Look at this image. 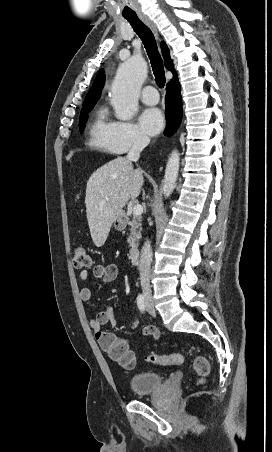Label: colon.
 I'll return each instance as SVG.
<instances>
[{
	"instance_id": "1",
	"label": "colon",
	"mask_w": 272,
	"mask_h": 452,
	"mask_svg": "<svg viewBox=\"0 0 272 452\" xmlns=\"http://www.w3.org/2000/svg\"><path fill=\"white\" fill-rule=\"evenodd\" d=\"M92 264V258L88 253L87 248L84 245H77L74 249L73 266L76 269L89 267ZM109 358L119 364L120 366L130 368L134 365V356L127 347V343L124 340H119L109 352ZM147 360L150 363L169 366L180 365L184 362V358L179 353L172 354H149ZM193 367L198 376L199 383L209 375L211 366L209 361L201 355H197L193 359Z\"/></svg>"
}]
</instances>
